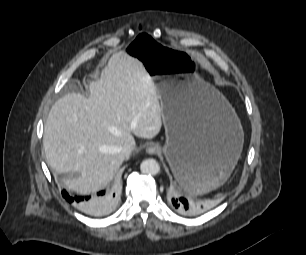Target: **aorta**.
<instances>
[{"instance_id":"762f6f07","label":"aorta","mask_w":306,"mask_h":255,"mask_svg":"<svg viewBox=\"0 0 306 255\" xmlns=\"http://www.w3.org/2000/svg\"><path fill=\"white\" fill-rule=\"evenodd\" d=\"M140 169L146 175H156L160 172V165L155 159L149 158L142 161Z\"/></svg>"}]
</instances>
